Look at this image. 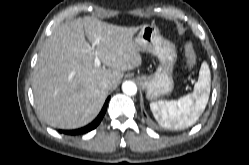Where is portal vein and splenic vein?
I'll list each match as a JSON object with an SVG mask.
<instances>
[{"instance_id": "obj_1", "label": "portal vein and splenic vein", "mask_w": 249, "mask_h": 165, "mask_svg": "<svg viewBox=\"0 0 249 165\" xmlns=\"http://www.w3.org/2000/svg\"><path fill=\"white\" fill-rule=\"evenodd\" d=\"M94 47H95V43L92 44V46H89L88 49L91 50V51H93V53H94V55H95L94 65H95L96 67H100V65H101L100 57H99V55L97 54V52L94 50Z\"/></svg>"}]
</instances>
